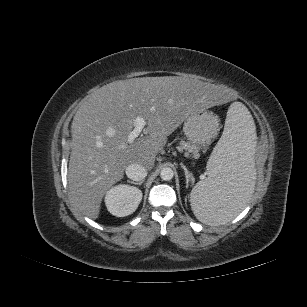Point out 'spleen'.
Segmentation results:
<instances>
[{
    "label": "spleen",
    "mask_w": 307,
    "mask_h": 307,
    "mask_svg": "<svg viewBox=\"0 0 307 307\" xmlns=\"http://www.w3.org/2000/svg\"><path fill=\"white\" fill-rule=\"evenodd\" d=\"M255 124L247 108L233 103L223 134L207 163V177L190 193V205L204 224L219 226L237 216L255 186Z\"/></svg>",
    "instance_id": "1"
}]
</instances>
